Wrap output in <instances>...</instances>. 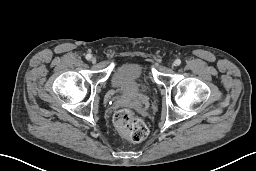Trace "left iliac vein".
<instances>
[{
	"label": "left iliac vein",
	"instance_id": "obj_1",
	"mask_svg": "<svg viewBox=\"0 0 256 171\" xmlns=\"http://www.w3.org/2000/svg\"><path fill=\"white\" fill-rule=\"evenodd\" d=\"M173 65H174V66H177L175 62L173 63Z\"/></svg>",
	"mask_w": 256,
	"mask_h": 171
}]
</instances>
